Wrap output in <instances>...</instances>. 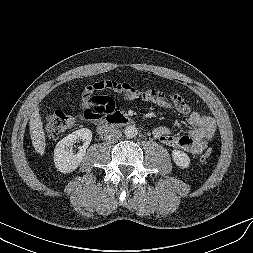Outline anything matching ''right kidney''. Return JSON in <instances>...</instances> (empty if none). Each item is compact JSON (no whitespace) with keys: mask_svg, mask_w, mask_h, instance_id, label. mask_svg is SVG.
<instances>
[{"mask_svg":"<svg viewBox=\"0 0 253 253\" xmlns=\"http://www.w3.org/2000/svg\"><path fill=\"white\" fill-rule=\"evenodd\" d=\"M77 139L83 140V145L76 153L72 151V145ZM92 140V132L87 128L74 131L60 140L54 150L55 167L61 173H70L78 168L86 154V149Z\"/></svg>","mask_w":253,"mask_h":253,"instance_id":"1","label":"right kidney"}]
</instances>
